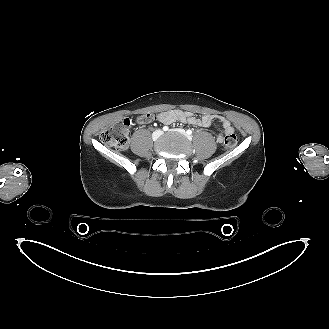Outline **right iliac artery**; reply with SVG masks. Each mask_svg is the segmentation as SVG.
<instances>
[{"label":"right iliac artery","mask_w":329,"mask_h":329,"mask_svg":"<svg viewBox=\"0 0 329 329\" xmlns=\"http://www.w3.org/2000/svg\"><path fill=\"white\" fill-rule=\"evenodd\" d=\"M168 129H169V128H168L167 126H164V127H163V130H164V131H167Z\"/></svg>","instance_id":"obj_1"}]
</instances>
